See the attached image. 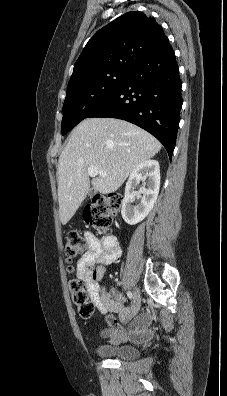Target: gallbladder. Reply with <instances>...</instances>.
<instances>
[{
  "instance_id": "bac80fb5",
  "label": "gallbladder",
  "mask_w": 227,
  "mask_h": 396,
  "mask_svg": "<svg viewBox=\"0 0 227 396\" xmlns=\"http://www.w3.org/2000/svg\"><path fill=\"white\" fill-rule=\"evenodd\" d=\"M96 193V191L93 189V188H91L90 189V192H89V196H92V195H94Z\"/></svg>"
}]
</instances>
